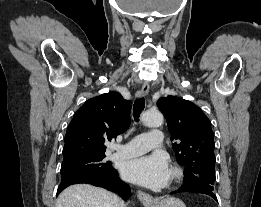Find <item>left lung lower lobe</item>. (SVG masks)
I'll return each instance as SVG.
<instances>
[{
	"label": "left lung lower lobe",
	"instance_id": "1",
	"mask_svg": "<svg viewBox=\"0 0 261 207\" xmlns=\"http://www.w3.org/2000/svg\"><path fill=\"white\" fill-rule=\"evenodd\" d=\"M175 193H201V194L209 195L217 201V197L213 193V188L203 183L184 182L183 185L178 190L171 192L170 194H175Z\"/></svg>",
	"mask_w": 261,
	"mask_h": 207
}]
</instances>
